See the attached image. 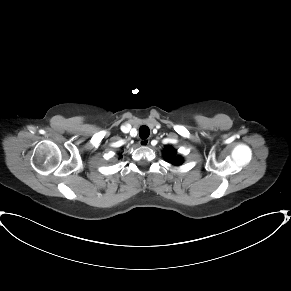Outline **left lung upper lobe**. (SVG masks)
<instances>
[{"mask_svg": "<svg viewBox=\"0 0 291 291\" xmlns=\"http://www.w3.org/2000/svg\"><path fill=\"white\" fill-rule=\"evenodd\" d=\"M164 151H165V156L167 160H170L172 164L180 165L183 162L181 157L175 156L176 150L174 148L167 146L165 147Z\"/></svg>", "mask_w": 291, "mask_h": 291, "instance_id": "1", "label": "left lung upper lobe"}]
</instances>
